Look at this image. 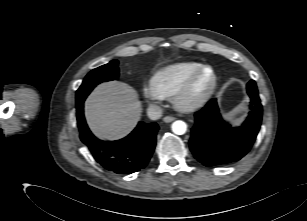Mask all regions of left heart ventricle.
<instances>
[{
	"label": "left heart ventricle",
	"mask_w": 307,
	"mask_h": 221,
	"mask_svg": "<svg viewBox=\"0 0 307 221\" xmlns=\"http://www.w3.org/2000/svg\"><path fill=\"white\" fill-rule=\"evenodd\" d=\"M211 81V72L210 71H206L202 77L200 78L198 84H197V88H196V91L198 93L204 91L207 86L209 85Z\"/></svg>",
	"instance_id": "1"
}]
</instances>
